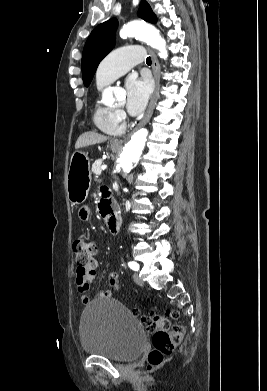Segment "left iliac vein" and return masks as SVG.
Returning a JSON list of instances; mask_svg holds the SVG:
<instances>
[{
  "label": "left iliac vein",
  "instance_id": "left-iliac-vein-1",
  "mask_svg": "<svg viewBox=\"0 0 267 391\" xmlns=\"http://www.w3.org/2000/svg\"><path fill=\"white\" fill-rule=\"evenodd\" d=\"M133 279H134V282L139 285V286H143L144 282L143 280L140 278V276L138 275V273H134L133 275Z\"/></svg>",
  "mask_w": 267,
  "mask_h": 391
}]
</instances>
